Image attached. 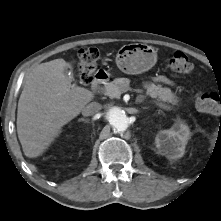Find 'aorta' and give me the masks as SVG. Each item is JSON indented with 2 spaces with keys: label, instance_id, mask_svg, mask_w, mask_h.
I'll return each instance as SVG.
<instances>
[{
  "label": "aorta",
  "instance_id": "obj_1",
  "mask_svg": "<svg viewBox=\"0 0 221 221\" xmlns=\"http://www.w3.org/2000/svg\"><path fill=\"white\" fill-rule=\"evenodd\" d=\"M106 119L115 131L124 132L129 126L126 113L119 107H112L106 114Z\"/></svg>",
  "mask_w": 221,
  "mask_h": 221
}]
</instances>
